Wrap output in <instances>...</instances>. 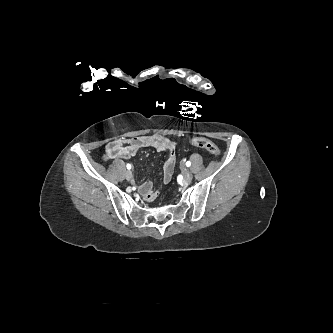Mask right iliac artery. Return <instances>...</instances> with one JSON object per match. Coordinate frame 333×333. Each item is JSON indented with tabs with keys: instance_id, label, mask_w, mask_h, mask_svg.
<instances>
[{
	"instance_id": "1",
	"label": "right iliac artery",
	"mask_w": 333,
	"mask_h": 333,
	"mask_svg": "<svg viewBox=\"0 0 333 333\" xmlns=\"http://www.w3.org/2000/svg\"><path fill=\"white\" fill-rule=\"evenodd\" d=\"M126 167H127V169L130 170L132 166H131V164L128 163Z\"/></svg>"
}]
</instances>
